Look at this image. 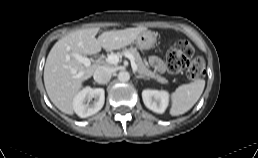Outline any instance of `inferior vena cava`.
Here are the masks:
<instances>
[{"label":"inferior vena cava","mask_w":258,"mask_h":158,"mask_svg":"<svg viewBox=\"0 0 258 158\" xmlns=\"http://www.w3.org/2000/svg\"><path fill=\"white\" fill-rule=\"evenodd\" d=\"M112 70L106 66L98 67L93 75L94 80L99 84H106L110 81Z\"/></svg>","instance_id":"602c4592"}]
</instances>
